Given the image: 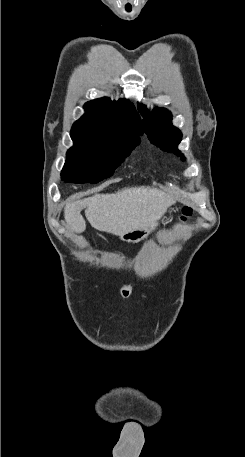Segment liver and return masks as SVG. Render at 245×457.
Wrapping results in <instances>:
<instances>
[{
  "instance_id": "obj_1",
  "label": "liver",
  "mask_w": 245,
  "mask_h": 457,
  "mask_svg": "<svg viewBox=\"0 0 245 457\" xmlns=\"http://www.w3.org/2000/svg\"><path fill=\"white\" fill-rule=\"evenodd\" d=\"M174 200L160 190L150 186H131L122 188L113 194H93L82 200L67 202L64 218L73 233H83L86 222L81 214L85 208V216L97 231L122 235L133 229L157 222L165 214Z\"/></svg>"
}]
</instances>
